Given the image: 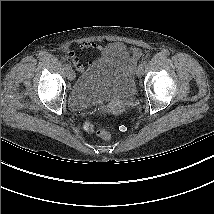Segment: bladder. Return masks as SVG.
Instances as JSON below:
<instances>
[{"label": "bladder", "mask_w": 214, "mask_h": 214, "mask_svg": "<svg viewBox=\"0 0 214 214\" xmlns=\"http://www.w3.org/2000/svg\"><path fill=\"white\" fill-rule=\"evenodd\" d=\"M136 91L132 69L118 55H108L85 72L69 92L72 109L130 99Z\"/></svg>", "instance_id": "obj_1"}]
</instances>
